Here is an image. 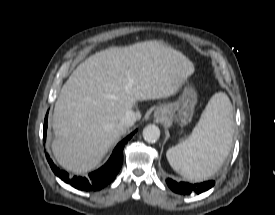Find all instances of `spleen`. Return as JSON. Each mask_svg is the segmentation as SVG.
I'll list each match as a JSON object with an SVG mask.
<instances>
[{
    "label": "spleen",
    "mask_w": 275,
    "mask_h": 215,
    "mask_svg": "<svg viewBox=\"0 0 275 215\" xmlns=\"http://www.w3.org/2000/svg\"><path fill=\"white\" fill-rule=\"evenodd\" d=\"M234 133L233 109L225 93L214 94L187 140L167 150L171 167L192 180L215 174L228 156Z\"/></svg>",
    "instance_id": "obj_1"
}]
</instances>
